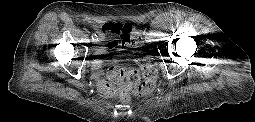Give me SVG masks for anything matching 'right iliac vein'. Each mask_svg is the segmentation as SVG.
I'll list each match as a JSON object with an SVG mask.
<instances>
[{
    "label": "right iliac vein",
    "instance_id": "1",
    "mask_svg": "<svg viewBox=\"0 0 255 122\" xmlns=\"http://www.w3.org/2000/svg\"><path fill=\"white\" fill-rule=\"evenodd\" d=\"M97 41H98V38H97L96 40H94V41H93V43H94V44H96V43H97Z\"/></svg>",
    "mask_w": 255,
    "mask_h": 122
}]
</instances>
